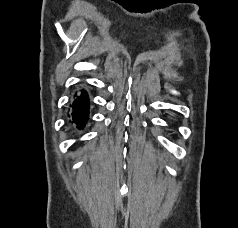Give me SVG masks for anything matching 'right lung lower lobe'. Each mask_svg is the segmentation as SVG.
Here are the masks:
<instances>
[{"instance_id": "obj_1", "label": "right lung lower lobe", "mask_w": 238, "mask_h": 228, "mask_svg": "<svg viewBox=\"0 0 238 228\" xmlns=\"http://www.w3.org/2000/svg\"><path fill=\"white\" fill-rule=\"evenodd\" d=\"M88 103L89 99L85 91L77 96L72 103V123L76 124L79 129L82 128L87 121L89 113Z\"/></svg>"}]
</instances>
